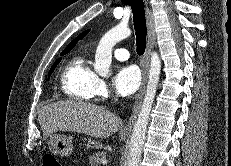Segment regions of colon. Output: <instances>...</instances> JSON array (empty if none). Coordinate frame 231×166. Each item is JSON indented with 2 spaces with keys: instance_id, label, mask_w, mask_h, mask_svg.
I'll return each mask as SVG.
<instances>
[{
  "instance_id": "1",
  "label": "colon",
  "mask_w": 231,
  "mask_h": 166,
  "mask_svg": "<svg viewBox=\"0 0 231 166\" xmlns=\"http://www.w3.org/2000/svg\"><path fill=\"white\" fill-rule=\"evenodd\" d=\"M43 166H62V164L54 155L47 154L43 157Z\"/></svg>"
}]
</instances>
